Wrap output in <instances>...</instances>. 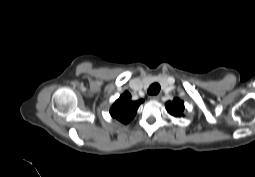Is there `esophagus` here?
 Returning a JSON list of instances; mask_svg holds the SVG:
<instances>
[{
	"label": "esophagus",
	"instance_id": "1",
	"mask_svg": "<svg viewBox=\"0 0 255 177\" xmlns=\"http://www.w3.org/2000/svg\"><path fill=\"white\" fill-rule=\"evenodd\" d=\"M150 99L153 101H157V100H159V95L151 96Z\"/></svg>",
	"mask_w": 255,
	"mask_h": 177
}]
</instances>
